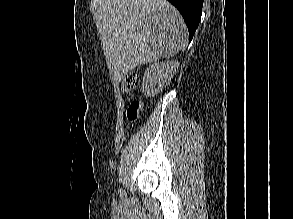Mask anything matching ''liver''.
<instances>
[{"label":"liver","instance_id":"liver-1","mask_svg":"<svg viewBox=\"0 0 293 219\" xmlns=\"http://www.w3.org/2000/svg\"><path fill=\"white\" fill-rule=\"evenodd\" d=\"M97 29L115 81L139 65L176 55L187 27L167 0H99Z\"/></svg>","mask_w":293,"mask_h":219}]
</instances>
